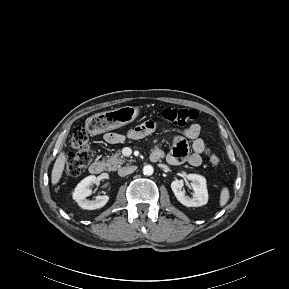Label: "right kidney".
Segmentation results:
<instances>
[{
    "mask_svg": "<svg viewBox=\"0 0 289 289\" xmlns=\"http://www.w3.org/2000/svg\"><path fill=\"white\" fill-rule=\"evenodd\" d=\"M96 176L90 175L86 178H84L75 188L73 192V199L77 202V204L82 209L87 210H95L100 209L103 206L106 205V203L109 200V197L107 195L103 196H96L94 200H87L86 197L91 195V190L89 189V186L92 183H95Z\"/></svg>",
    "mask_w": 289,
    "mask_h": 289,
    "instance_id": "right-kidney-1",
    "label": "right kidney"
}]
</instances>
